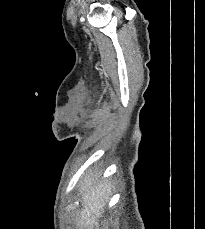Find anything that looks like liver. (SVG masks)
<instances>
[{"mask_svg":"<svg viewBox=\"0 0 205 229\" xmlns=\"http://www.w3.org/2000/svg\"><path fill=\"white\" fill-rule=\"evenodd\" d=\"M109 193L110 185L99 181L98 176L89 175L85 178L80 188L83 209L78 213V229H98L99 219L96 216L102 212Z\"/></svg>","mask_w":205,"mask_h":229,"instance_id":"obj_1","label":"liver"}]
</instances>
